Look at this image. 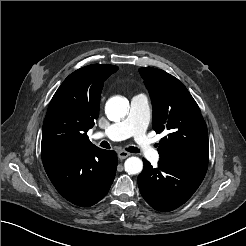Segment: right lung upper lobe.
I'll list each match as a JSON object with an SVG mask.
<instances>
[{
    "label": "right lung upper lobe",
    "instance_id": "1",
    "mask_svg": "<svg viewBox=\"0 0 246 246\" xmlns=\"http://www.w3.org/2000/svg\"><path fill=\"white\" fill-rule=\"evenodd\" d=\"M118 67L93 64L70 74L54 94L44 120L41 153L45 161L57 154L95 148L87 131L99 116L103 82Z\"/></svg>",
    "mask_w": 246,
    "mask_h": 246
}]
</instances>
